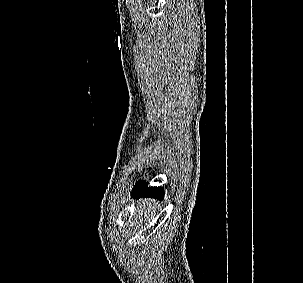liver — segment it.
Listing matches in <instances>:
<instances>
[{
  "mask_svg": "<svg viewBox=\"0 0 303 283\" xmlns=\"http://www.w3.org/2000/svg\"><path fill=\"white\" fill-rule=\"evenodd\" d=\"M146 203H148V200L146 201ZM154 205H149V208L151 209V207H153ZM149 208L148 209H146L145 208V204L143 205V208H141V203L139 204V207L137 208V211H138V213L139 214H141L142 212H144V213H147V212H149Z\"/></svg>",
  "mask_w": 303,
  "mask_h": 283,
  "instance_id": "obj_1",
  "label": "liver"
}]
</instances>
